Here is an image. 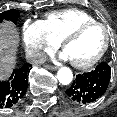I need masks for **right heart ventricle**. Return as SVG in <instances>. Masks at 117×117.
<instances>
[{
	"mask_svg": "<svg viewBox=\"0 0 117 117\" xmlns=\"http://www.w3.org/2000/svg\"><path fill=\"white\" fill-rule=\"evenodd\" d=\"M96 21L95 18L80 9H65L53 11L46 15L43 23L49 32L61 41L65 35L81 24Z\"/></svg>",
	"mask_w": 117,
	"mask_h": 117,
	"instance_id": "e07e8e85",
	"label": "right heart ventricle"
}]
</instances>
